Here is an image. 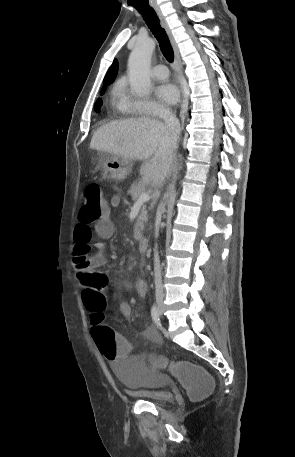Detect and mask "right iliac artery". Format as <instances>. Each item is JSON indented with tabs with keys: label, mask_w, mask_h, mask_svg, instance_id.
Returning <instances> with one entry per match:
<instances>
[{
	"label": "right iliac artery",
	"mask_w": 295,
	"mask_h": 457,
	"mask_svg": "<svg viewBox=\"0 0 295 457\" xmlns=\"http://www.w3.org/2000/svg\"><path fill=\"white\" fill-rule=\"evenodd\" d=\"M151 316H152V319H153L154 323L157 325V327L160 328L161 327L160 313H159L158 308L155 305L152 306Z\"/></svg>",
	"instance_id": "obj_1"
}]
</instances>
